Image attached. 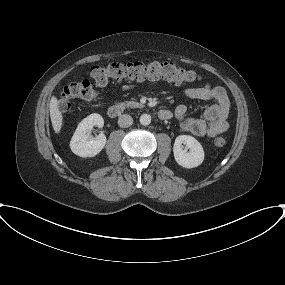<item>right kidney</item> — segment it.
I'll list each match as a JSON object with an SVG mask.
<instances>
[{"label": "right kidney", "mask_w": 285, "mask_h": 285, "mask_svg": "<svg viewBox=\"0 0 285 285\" xmlns=\"http://www.w3.org/2000/svg\"><path fill=\"white\" fill-rule=\"evenodd\" d=\"M104 119L98 113H93L83 119L76 128L70 141L72 152L80 157H94L106 144V136L100 133L95 139L90 137L94 126L103 127Z\"/></svg>", "instance_id": "1"}]
</instances>
